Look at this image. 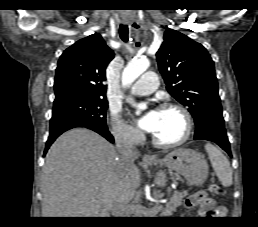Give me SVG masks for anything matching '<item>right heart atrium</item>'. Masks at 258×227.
<instances>
[{"label": "right heart atrium", "mask_w": 258, "mask_h": 227, "mask_svg": "<svg viewBox=\"0 0 258 227\" xmlns=\"http://www.w3.org/2000/svg\"><path fill=\"white\" fill-rule=\"evenodd\" d=\"M110 130L116 142L136 145L141 140V133L123 119L117 109L110 112Z\"/></svg>", "instance_id": "d8ad5b80"}]
</instances>
